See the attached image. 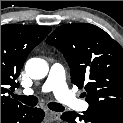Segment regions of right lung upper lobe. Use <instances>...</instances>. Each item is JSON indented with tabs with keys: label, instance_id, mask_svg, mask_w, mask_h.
Listing matches in <instances>:
<instances>
[{
	"label": "right lung upper lobe",
	"instance_id": "right-lung-upper-lobe-1",
	"mask_svg": "<svg viewBox=\"0 0 123 123\" xmlns=\"http://www.w3.org/2000/svg\"><path fill=\"white\" fill-rule=\"evenodd\" d=\"M50 31L49 26H1V113L24 106L10 95L19 86L17 78L28 54Z\"/></svg>",
	"mask_w": 123,
	"mask_h": 123
}]
</instances>
